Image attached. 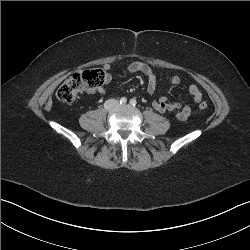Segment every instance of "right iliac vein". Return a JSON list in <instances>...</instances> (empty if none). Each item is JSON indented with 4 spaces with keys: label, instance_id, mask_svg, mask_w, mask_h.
Returning <instances> with one entry per match:
<instances>
[{
    "label": "right iliac vein",
    "instance_id": "right-iliac-vein-1",
    "mask_svg": "<svg viewBox=\"0 0 250 250\" xmlns=\"http://www.w3.org/2000/svg\"><path fill=\"white\" fill-rule=\"evenodd\" d=\"M116 106V102L115 101H110L109 102V107H114Z\"/></svg>",
    "mask_w": 250,
    "mask_h": 250
}]
</instances>
